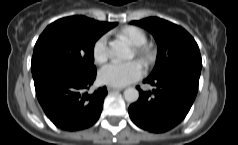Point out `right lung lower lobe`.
Here are the masks:
<instances>
[{
  "instance_id": "obj_1",
  "label": "right lung lower lobe",
  "mask_w": 238,
  "mask_h": 145,
  "mask_svg": "<svg viewBox=\"0 0 238 145\" xmlns=\"http://www.w3.org/2000/svg\"><path fill=\"white\" fill-rule=\"evenodd\" d=\"M38 101L58 128L78 131L92 126L100 117L106 87L85 92L96 78V69L85 71L59 61L31 65Z\"/></svg>"
}]
</instances>
